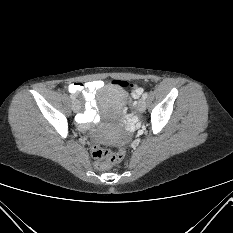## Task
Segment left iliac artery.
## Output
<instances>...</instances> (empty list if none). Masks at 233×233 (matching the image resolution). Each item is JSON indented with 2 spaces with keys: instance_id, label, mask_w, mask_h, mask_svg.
<instances>
[{
  "instance_id": "1",
  "label": "left iliac artery",
  "mask_w": 233,
  "mask_h": 233,
  "mask_svg": "<svg viewBox=\"0 0 233 233\" xmlns=\"http://www.w3.org/2000/svg\"><path fill=\"white\" fill-rule=\"evenodd\" d=\"M147 96H148V93H147V92H145V93L142 95V98H143V99H146V98H147Z\"/></svg>"
}]
</instances>
